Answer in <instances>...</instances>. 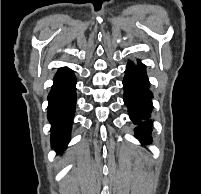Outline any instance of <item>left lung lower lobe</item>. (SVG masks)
<instances>
[{
  "label": "left lung lower lobe",
  "instance_id": "0a47b994",
  "mask_svg": "<svg viewBox=\"0 0 201 194\" xmlns=\"http://www.w3.org/2000/svg\"><path fill=\"white\" fill-rule=\"evenodd\" d=\"M128 61L125 77L123 80L124 103L128 107L130 119L137 125L135 137L143 144H150L152 141L151 112L153 105L151 99L153 93L149 90L150 83L146 73V67L137 60Z\"/></svg>",
  "mask_w": 201,
  "mask_h": 194
}]
</instances>
